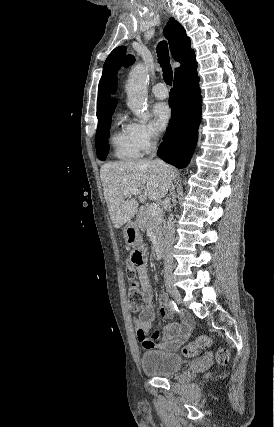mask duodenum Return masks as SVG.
Segmentation results:
<instances>
[{"mask_svg": "<svg viewBox=\"0 0 274 427\" xmlns=\"http://www.w3.org/2000/svg\"><path fill=\"white\" fill-rule=\"evenodd\" d=\"M156 252L159 256L164 257V244L163 243H159L157 248H156Z\"/></svg>", "mask_w": 274, "mask_h": 427, "instance_id": "obj_1", "label": "duodenum"}]
</instances>
